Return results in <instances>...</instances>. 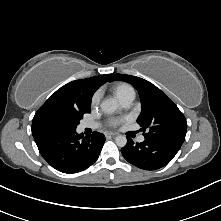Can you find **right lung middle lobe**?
Listing matches in <instances>:
<instances>
[{
	"label": "right lung middle lobe",
	"mask_w": 221,
	"mask_h": 221,
	"mask_svg": "<svg viewBox=\"0 0 221 221\" xmlns=\"http://www.w3.org/2000/svg\"><path fill=\"white\" fill-rule=\"evenodd\" d=\"M84 113L74 111L49 110L37 120V133L48 136L57 132L76 130Z\"/></svg>",
	"instance_id": "obj_1"
}]
</instances>
